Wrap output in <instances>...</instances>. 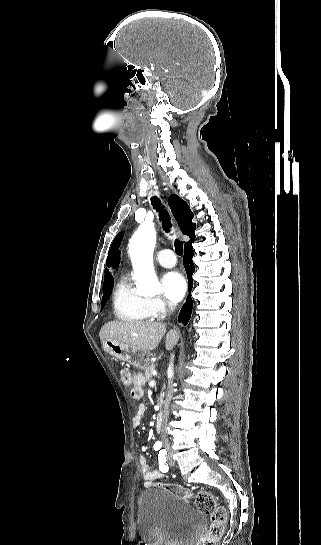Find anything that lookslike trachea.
Here are the masks:
<instances>
[{
  "mask_svg": "<svg viewBox=\"0 0 321 545\" xmlns=\"http://www.w3.org/2000/svg\"><path fill=\"white\" fill-rule=\"evenodd\" d=\"M149 186H152V183H149ZM151 204L154 209L160 212L159 215L160 219L162 220V227L165 232H170L172 224L168 211L164 208V206L161 204V201L157 197L151 198ZM183 244L184 242H181L178 239L175 240L174 248L177 255H183Z\"/></svg>",
  "mask_w": 321,
  "mask_h": 545,
  "instance_id": "trachea-1",
  "label": "trachea"
}]
</instances>
